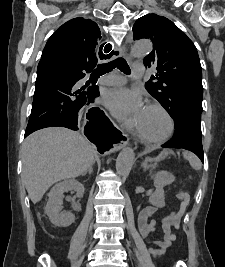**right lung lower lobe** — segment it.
<instances>
[{"label": "right lung lower lobe", "instance_id": "right-lung-lower-lobe-1", "mask_svg": "<svg viewBox=\"0 0 225 267\" xmlns=\"http://www.w3.org/2000/svg\"><path fill=\"white\" fill-rule=\"evenodd\" d=\"M85 72L89 73L78 63L62 57L41 58L31 115L24 137L46 127L59 126L78 130L79 110L91 105L99 95L98 87L78 86V81L85 76ZM89 113L91 116L87 118L90 122L85 126L84 133L99 152L103 153L111 147L113 135L118 130L98 108H91Z\"/></svg>", "mask_w": 225, "mask_h": 267}]
</instances>
